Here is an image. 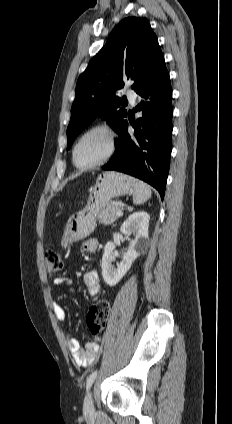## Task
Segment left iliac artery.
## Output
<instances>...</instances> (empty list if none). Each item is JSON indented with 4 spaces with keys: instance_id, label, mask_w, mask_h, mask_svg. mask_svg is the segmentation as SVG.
Here are the masks:
<instances>
[{
    "instance_id": "1",
    "label": "left iliac artery",
    "mask_w": 232,
    "mask_h": 424,
    "mask_svg": "<svg viewBox=\"0 0 232 424\" xmlns=\"http://www.w3.org/2000/svg\"><path fill=\"white\" fill-rule=\"evenodd\" d=\"M98 371L95 370L94 372H92L90 374V376L87 379V383H86V390L90 389V387L92 386L96 376H97Z\"/></svg>"
}]
</instances>
